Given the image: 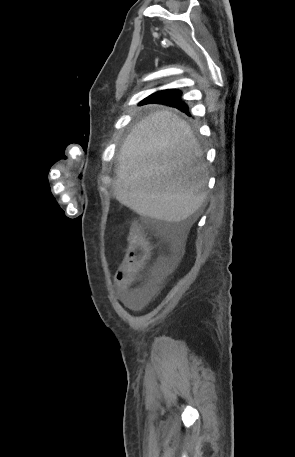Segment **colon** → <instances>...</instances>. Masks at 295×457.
I'll use <instances>...</instances> for the list:
<instances>
[{
  "label": "colon",
  "instance_id": "colon-1",
  "mask_svg": "<svg viewBox=\"0 0 295 457\" xmlns=\"http://www.w3.org/2000/svg\"><path fill=\"white\" fill-rule=\"evenodd\" d=\"M150 246L144 233L138 226H133L128 237V248L118 273L134 279L146 263Z\"/></svg>",
  "mask_w": 295,
  "mask_h": 457
}]
</instances>
